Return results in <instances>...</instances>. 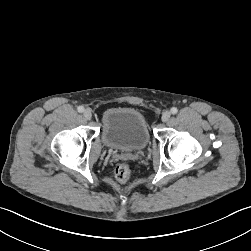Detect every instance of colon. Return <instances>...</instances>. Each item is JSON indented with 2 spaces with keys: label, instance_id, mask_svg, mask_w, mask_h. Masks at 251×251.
Segmentation results:
<instances>
[{
  "label": "colon",
  "instance_id": "1",
  "mask_svg": "<svg viewBox=\"0 0 251 251\" xmlns=\"http://www.w3.org/2000/svg\"><path fill=\"white\" fill-rule=\"evenodd\" d=\"M115 177L119 182H127L131 177V169L127 164H118L115 168Z\"/></svg>",
  "mask_w": 251,
  "mask_h": 251
}]
</instances>
